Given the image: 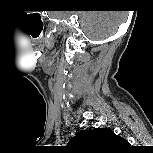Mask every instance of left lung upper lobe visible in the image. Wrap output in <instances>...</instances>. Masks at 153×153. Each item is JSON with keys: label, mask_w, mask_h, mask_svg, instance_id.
Masks as SVG:
<instances>
[{"label": "left lung upper lobe", "mask_w": 153, "mask_h": 153, "mask_svg": "<svg viewBox=\"0 0 153 153\" xmlns=\"http://www.w3.org/2000/svg\"><path fill=\"white\" fill-rule=\"evenodd\" d=\"M68 145L85 153H105L125 148L128 143L110 129L95 128L80 131Z\"/></svg>", "instance_id": "1"}]
</instances>
